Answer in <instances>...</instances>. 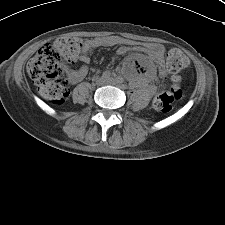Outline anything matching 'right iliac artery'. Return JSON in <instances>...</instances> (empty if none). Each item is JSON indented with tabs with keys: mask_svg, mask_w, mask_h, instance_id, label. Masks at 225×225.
<instances>
[{
	"mask_svg": "<svg viewBox=\"0 0 225 225\" xmlns=\"http://www.w3.org/2000/svg\"><path fill=\"white\" fill-rule=\"evenodd\" d=\"M111 76V72L110 71H104L103 74H102V77L107 79V78H110Z\"/></svg>",
	"mask_w": 225,
	"mask_h": 225,
	"instance_id": "obj_1",
	"label": "right iliac artery"
}]
</instances>
